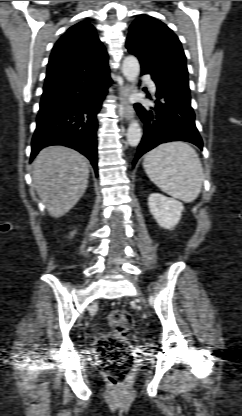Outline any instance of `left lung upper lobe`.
I'll list each match as a JSON object with an SVG mask.
<instances>
[{
	"label": "left lung upper lobe",
	"instance_id": "5c2ea615",
	"mask_svg": "<svg viewBox=\"0 0 242 416\" xmlns=\"http://www.w3.org/2000/svg\"><path fill=\"white\" fill-rule=\"evenodd\" d=\"M126 48L160 85L190 97L186 57L168 26L151 16H138L129 28Z\"/></svg>",
	"mask_w": 242,
	"mask_h": 416
}]
</instances>
